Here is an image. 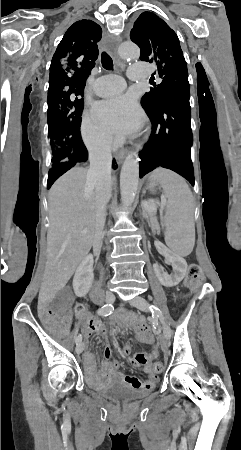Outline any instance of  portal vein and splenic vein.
Returning <instances> with one entry per match:
<instances>
[{
	"mask_svg": "<svg viewBox=\"0 0 241 450\" xmlns=\"http://www.w3.org/2000/svg\"><path fill=\"white\" fill-rule=\"evenodd\" d=\"M158 206H160L161 207V209H166V204H164L163 202H160V203H158V202H151V204H145L144 205V213H152V214H154V213H156L157 212V208H158ZM162 211V210H161ZM83 234H86V232H83Z\"/></svg>",
	"mask_w": 241,
	"mask_h": 450,
	"instance_id": "obj_1",
	"label": "portal vein and splenic vein"
}]
</instances>
